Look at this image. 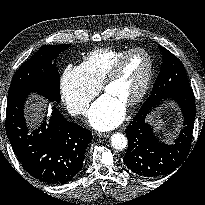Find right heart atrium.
I'll return each mask as SVG.
<instances>
[{
	"instance_id": "d8ad5b80",
	"label": "right heart atrium",
	"mask_w": 205,
	"mask_h": 205,
	"mask_svg": "<svg viewBox=\"0 0 205 205\" xmlns=\"http://www.w3.org/2000/svg\"><path fill=\"white\" fill-rule=\"evenodd\" d=\"M99 86L85 76L80 66L68 65L60 78V93L68 111L74 116L84 115Z\"/></svg>"
}]
</instances>
